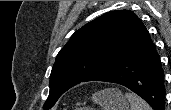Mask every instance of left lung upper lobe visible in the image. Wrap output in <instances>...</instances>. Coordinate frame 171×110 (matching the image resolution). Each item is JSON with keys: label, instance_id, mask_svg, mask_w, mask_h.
I'll use <instances>...</instances> for the list:
<instances>
[{"label": "left lung upper lobe", "instance_id": "5c2ea615", "mask_svg": "<svg viewBox=\"0 0 171 110\" xmlns=\"http://www.w3.org/2000/svg\"><path fill=\"white\" fill-rule=\"evenodd\" d=\"M149 32L130 10L110 11L77 30L58 53L43 105L50 109L71 87L92 81L117 65Z\"/></svg>", "mask_w": 171, "mask_h": 110}]
</instances>
